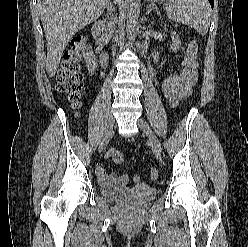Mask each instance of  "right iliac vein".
<instances>
[{
  "instance_id": "1",
  "label": "right iliac vein",
  "mask_w": 248,
  "mask_h": 247,
  "mask_svg": "<svg viewBox=\"0 0 248 247\" xmlns=\"http://www.w3.org/2000/svg\"><path fill=\"white\" fill-rule=\"evenodd\" d=\"M113 127H114V118L112 115H109L104 134H103L101 142L99 144V152H101L104 149L108 140L111 138V136L113 134Z\"/></svg>"
}]
</instances>
